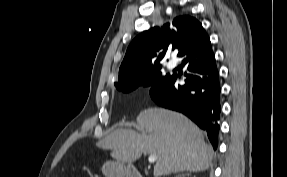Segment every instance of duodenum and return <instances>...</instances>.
<instances>
[{
    "label": "duodenum",
    "instance_id": "duodenum-1",
    "mask_svg": "<svg viewBox=\"0 0 287 177\" xmlns=\"http://www.w3.org/2000/svg\"><path fill=\"white\" fill-rule=\"evenodd\" d=\"M113 174L122 175L123 177H143L135 167L125 166L121 169L113 170Z\"/></svg>",
    "mask_w": 287,
    "mask_h": 177
}]
</instances>
